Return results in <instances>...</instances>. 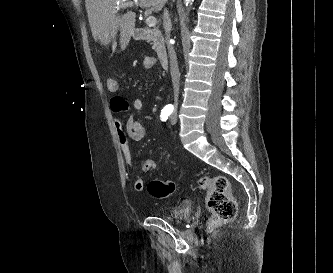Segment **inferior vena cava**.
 <instances>
[{"mask_svg":"<svg viewBox=\"0 0 333 273\" xmlns=\"http://www.w3.org/2000/svg\"><path fill=\"white\" fill-rule=\"evenodd\" d=\"M163 25L166 35V44L168 48L169 58H170V72L173 83L174 90V105L175 110L178 106V97H179V87H180V73L178 68L177 56L174 50V47L169 43L170 31L172 28L171 19L167 9L164 10L163 14Z\"/></svg>","mask_w":333,"mask_h":273,"instance_id":"inferior-vena-cava-1","label":"inferior vena cava"}]
</instances>
